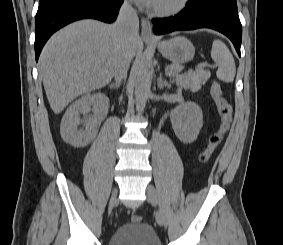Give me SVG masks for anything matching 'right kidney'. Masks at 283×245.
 I'll use <instances>...</instances> for the list:
<instances>
[{
	"instance_id": "obj_1",
	"label": "right kidney",
	"mask_w": 283,
	"mask_h": 245,
	"mask_svg": "<svg viewBox=\"0 0 283 245\" xmlns=\"http://www.w3.org/2000/svg\"><path fill=\"white\" fill-rule=\"evenodd\" d=\"M109 107V99L101 93L85 95L69 106L64 114L60 134L63 140L74 147H85L97 134V115L105 113ZM92 110L93 119L82 120L80 114ZM84 124L85 129L79 128Z\"/></svg>"
}]
</instances>
